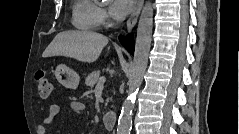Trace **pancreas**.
Returning a JSON list of instances; mask_svg holds the SVG:
<instances>
[{
    "label": "pancreas",
    "instance_id": "obj_1",
    "mask_svg": "<svg viewBox=\"0 0 239 134\" xmlns=\"http://www.w3.org/2000/svg\"><path fill=\"white\" fill-rule=\"evenodd\" d=\"M100 80V71L96 70L93 71L92 73H90L86 79H85V84L87 86H90L91 88H93Z\"/></svg>",
    "mask_w": 239,
    "mask_h": 134
}]
</instances>
